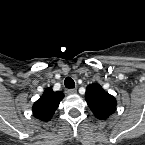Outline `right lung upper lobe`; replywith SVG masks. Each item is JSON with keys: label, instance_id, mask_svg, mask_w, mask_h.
<instances>
[{"label": "right lung upper lobe", "instance_id": "obj_1", "mask_svg": "<svg viewBox=\"0 0 145 145\" xmlns=\"http://www.w3.org/2000/svg\"><path fill=\"white\" fill-rule=\"evenodd\" d=\"M63 98L62 92L46 88L43 95L33 104V115L39 120L49 121Z\"/></svg>", "mask_w": 145, "mask_h": 145}]
</instances>
